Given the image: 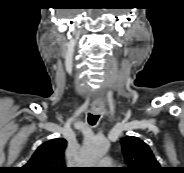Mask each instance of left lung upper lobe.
I'll use <instances>...</instances> for the list:
<instances>
[{
  "mask_svg": "<svg viewBox=\"0 0 184 173\" xmlns=\"http://www.w3.org/2000/svg\"><path fill=\"white\" fill-rule=\"evenodd\" d=\"M125 163L122 173H162L158 161L146 143L137 137L127 136L121 139Z\"/></svg>",
  "mask_w": 184,
  "mask_h": 173,
  "instance_id": "5c2ea615",
  "label": "left lung upper lobe"
}]
</instances>
